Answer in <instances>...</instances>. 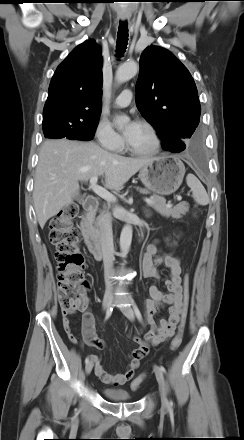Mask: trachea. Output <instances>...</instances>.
Instances as JSON below:
<instances>
[{"instance_id":"trachea-1","label":"trachea","mask_w":244,"mask_h":440,"mask_svg":"<svg viewBox=\"0 0 244 440\" xmlns=\"http://www.w3.org/2000/svg\"><path fill=\"white\" fill-rule=\"evenodd\" d=\"M128 36L127 22H120L117 34V57H121L126 51Z\"/></svg>"}]
</instances>
